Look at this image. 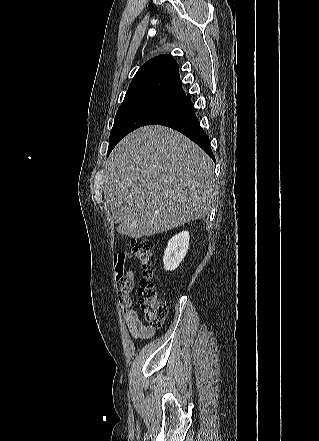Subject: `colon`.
<instances>
[{"mask_svg":"<svg viewBox=\"0 0 319 441\" xmlns=\"http://www.w3.org/2000/svg\"><path fill=\"white\" fill-rule=\"evenodd\" d=\"M132 253L143 270V277L138 287L139 305L149 326L160 327L167 313V306L160 298L152 278L153 243L148 239H139L132 242ZM118 289L123 287L124 267L115 266Z\"/></svg>","mask_w":319,"mask_h":441,"instance_id":"5ec220e1","label":"colon"}]
</instances>
